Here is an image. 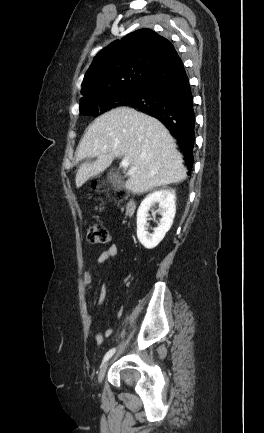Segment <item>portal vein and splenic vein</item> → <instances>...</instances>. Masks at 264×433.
<instances>
[{
	"label": "portal vein and splenic vein",
	"instance_id": "18ae733b",
	"mask_svg": "<svg viewBox=\"0 0 264 433\" xmlns=\"http://www.w3.org/2000/svg\"><path fill=\"white\" fill-rule=\"evenodd\" d=\"M120 166L123 167L125 170H127L129 166V157H124L120 163ZM135 169H130L128 171V174H134Z\"/></svg>",
	"mask_w": 264,
	"mask_h": 433
}]
</instances>
